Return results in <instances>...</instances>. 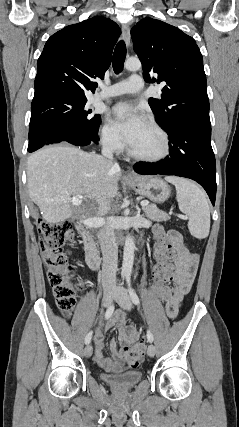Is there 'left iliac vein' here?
Instances as JSON below:
<instances>
[{
  "instance_id": "4c4485c4",
  "label": "left iliac vein",
  "mask_w": 239,
  "mask_h": 427,
  "mask_svg": "<svg viewBox=\"0 0 239 427\" xmlns=\"http://www.w3.org/2000/svg\"><path fill=\"white\" fill-rule=\"evenodd\" d=\"M115 301L125 310H130L132 307L131 299L123 286H118L114 293ZM156 353V348L153 344H150L147 348V354L153 357Z\"/></svg>"
}]
</instances>
